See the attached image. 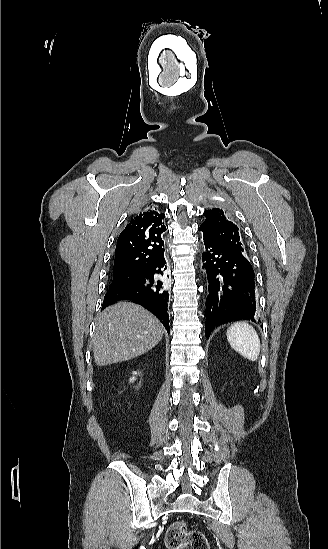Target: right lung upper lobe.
Here are the masks:
<instances>
[{"label":"right lung upper lobe","instance_id":"cb5924a9","mask_svg":"<svg viewBox=\"0 0 328 549\" xmlns=\"http://www.w3.org/2000/svg\"><path fill=\"white\" fill-rule=\"evenodd\" d=\"M164 218L153 209L131 218L117 240L113 277L138 274L164 253Z\"/></svg>","mask_w":328,"mask_h":549}]
</instances>
